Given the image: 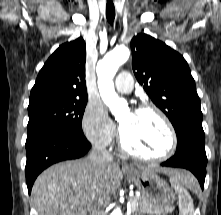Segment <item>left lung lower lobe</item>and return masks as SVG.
I'll use <instances>...</instances> for the list:
<instances>
[{
	"instance_id": "left-lung-lower-lobe-1",
	"label": "left lung lower lobe",
	"mask_w": 221,
	"mask_h": 215,
	"mask_svg": "<svg viewBox=\"0 0 221 215\" xmlns=\"http://www.w3.org/2000/svg\"><path fill=\"white\" fill-rule=\"evenodd\" d=\"M166 167L185 168L198 179L204 188L207 157L205 134L202 126H187L177 135V149L173 157L161 164Z\"/></svg>"
}]
</instances>
